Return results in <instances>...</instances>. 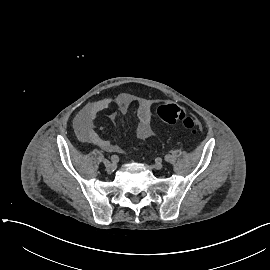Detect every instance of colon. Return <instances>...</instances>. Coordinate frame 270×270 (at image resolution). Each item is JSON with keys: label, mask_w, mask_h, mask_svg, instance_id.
<instances>
[{"label": "colon", "mask_w": 270, "mask_h": 270, "mask_svg": "<svg viewBox=\"0 0 270 270\" xmlns=\"http://www.w3.org/2000/svg\"><path fill=\"white\" fill-rule=\"evenodd\" d=\"M158 120L165 125H181L192 133L200 130L197 119L178 104H166L161 106L156 113Z\"/></svg>", "instance_id": "colon-1"}]
</instances>
